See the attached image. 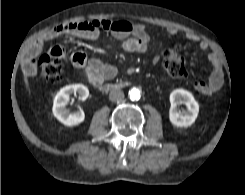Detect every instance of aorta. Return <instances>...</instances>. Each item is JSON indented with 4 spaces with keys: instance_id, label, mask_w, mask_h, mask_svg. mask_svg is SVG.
<instances>
[{
    "instance_id": "aorta-1",
    "label": "aorta",
    "mask_w": 245,
    "mask_h": 195,
    "mask_svg": "<svg viewBox=\"0 0 245 195\" xmlns=\"http://www.w3.org/2000/svg\"><path fill=\"white\" fill-rule=\"evenodd\" d=\"M141 97V92L138 88H132L131 90H129V98L132 101H138Z\"/></svg>"
}]
</instances>
